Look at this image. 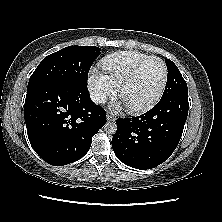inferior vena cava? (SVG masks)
Instances as JSON below:
<instances>
[{
    "mask_svg": "<svg viewBox=\"0 0 222 222\" xmlns=\"http://www.w3.org/2000/svg\"><path fill=\"white\" fill-rule=\"evenodd\" d=\"M90 98L94 103H104L106 100V95L103 93L91 92Z\"/></svg>",
    "mask_w": 222,
    "mask_h": 222,
    "instance_id": "inferior-vena-cava-1",
    "label": "inferior vena cava"
}]
</instances>
